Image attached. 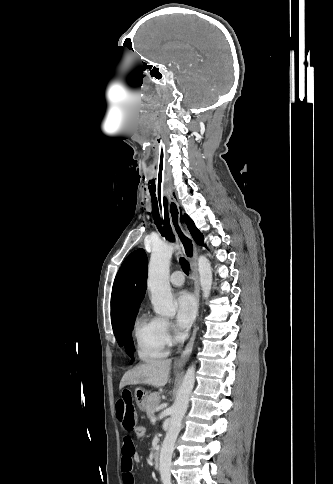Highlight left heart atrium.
Here are the masks:
<instances>
[{
    "mask_svg": "<svg viewBox=\"0 0 333 484\" xmlns=\"http://www.w3.org/2000/svg\"><path fill=\"white\" fill-rule=\"evenodd\" d=\"M176 306V321L180 328H188L197 310V303L194 297L186 291H181L176 294L175 299Z\"/></svg>",
    "mask_w": 333,
    "mask_h": 484,
    "instance_id": "left-heart-atrium-1",
    "label": "left heart atrium"
}]
</instances>
